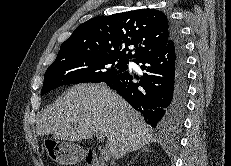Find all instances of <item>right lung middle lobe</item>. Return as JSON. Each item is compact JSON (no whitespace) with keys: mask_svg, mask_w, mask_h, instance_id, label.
<instances>
[{"mask_svg":"<svg viewBox=\"0 0 231 166\" xmlns=\"http://www.w3.org/2000/svg\"><path fill=\"white\" fill-rule=\"evenodd\" d=\"M128 60L110 55L85 53L56 58L44 75L41 95L62 85L103 82L127 69Z\"/></svg>","mask_w":231,"mask_h":166,"instance_id":"obj_1","label":"right lung middle lobe"}]
</instances>
